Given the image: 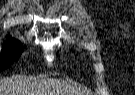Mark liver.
I'll list each match as a JSON object with an SVG mask.
<instances>
[{"instance_id": "obj_1", "label": "liver", "mask_w": 135, "mask_h": 95, "mask_svg": "<svg viewBox=\"0 0 135 95\" xmlns=\"http://www.w3.org/2000/svg\"><path fill=\"white\" fill-rule=\"evenodd\" d=\"M79 93L65 82L36 80L25 76L0 78V95H74Z\"/></svg>"}]
</instances>
